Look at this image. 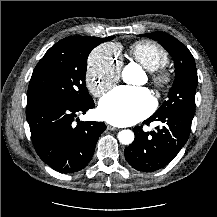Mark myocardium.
Here are the masks:
<instances>
[{
  "mask_svg": "<svg viewBox=\"0 0 217 217\" xmlns=\"http://www.w3.org/2000/svg\"><path fill=\"white\" fill-rule=\"evenodd\" d=\"M151 81L157 90L163 91L170 87L173 77L167 70L161 67L151 72Z\"/></svg>",
  "mask_w": 217,
  "mask_h": 217,
  "instance_id": "obj_1",
  "label": "myocardium"
}]
</instances>
